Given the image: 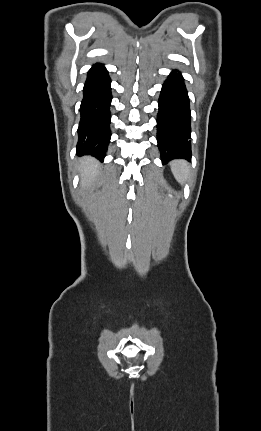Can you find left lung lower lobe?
I'll use <instances>...</instances> for the list:
<instances>
[{
	"mask_svg": "<svg viewBox=\"0 0 261 431\" xmlns=\"http://www.w3.org/2000/svg\"><path fill=\"white\" fill-rule=\"evenodd\" d=\"M157 115V141L161 160H191V115L182 75L173 71L163 84Z\"/></svg>",
	"mask_w": 261,
	"mask_h": 431,
	"instance_id": "1",
	"label": "left lung lower lobe"
}]
</instances>
